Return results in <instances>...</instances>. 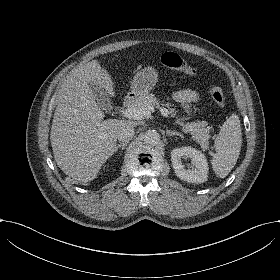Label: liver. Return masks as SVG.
I'll list each match as a JSON object with an SVG mask.
<instances>
[{
	"mask_svg": "<svg viewBox=\"0 0 280 280\" xmlns=\"http://www.w3.org/2000/svg\"><path fill=\"white\" fill-rule=\"evenodd\" d=\"M91 83L111 91L110 79L95 60L66 76L56 95L50 136L58 166L82 182L91 181L113 154L119 128L138 124L133 120H104L103 109L91 94Z\"/></svg>",
	"mask_w": 280,
	"mask_h": 280,
	"instance_id": "1",
	"label": "liver"
}]
</instances>
